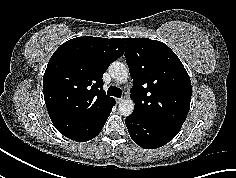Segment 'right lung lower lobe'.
I'll return each mask as SVG.
<instances>
[{"instance_id": "1", "label": "right lung lower lobe", "mask_w": 236, "mask_h": 178, "mask_svg": "<svg viewBox=\"0 0 236 178\" xmlns=\"http://www.w3.org/2000/svg\"><path fill=\"white\" fill-rule=\"evenodd\" d=\"M102 128H103V127H102ZM102 128H101L98 132H96L94 135H92L91 137H89V138H87V139H85V140H83V141H81V142L88 141V140H90V139L96 137V136L100 133V131L102 130Z\"/></svg>"}]
</instances>
